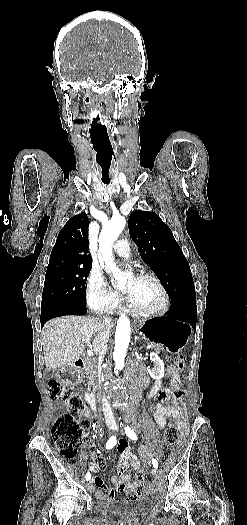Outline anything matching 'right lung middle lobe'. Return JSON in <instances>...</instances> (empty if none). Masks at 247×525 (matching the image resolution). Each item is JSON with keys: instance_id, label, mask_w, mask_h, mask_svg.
<instances>
[{"instance_id": "obj_1", "label": "right lung middle lobe", "mask_w": 247, "mask_h": 525, "mask_svg": "<svg viewBox=\"0 0 247 525\" xmlns=\"http://www.w3.org/2000/svg\"><path fill=\"white\" fill-rule=\"evenodd\" d=\"M91 268L47 271L41 302V317L52 318L53 309L84 306L85 283Z\"/></svg>"}]
</instances>
